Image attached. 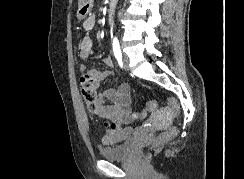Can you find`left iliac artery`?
I'll use <instances>...</instances> for the list:
<instances>
[{
	"label": "left iliac artery",
	"mask_w": 244,
	"mask_h": 179,
	"mask_svg": "<svg viewBox=\"0 0 244 179\" xmlns=\"http://www.w3.org/2000/svg\"><path fill=\"white\" fill-rule=\"evenodd\" d=\"M113 52H114V56L115 58L121 62L122 60V53H121V49H120V45H119V41L117 39V37L113 38Z\"/></svg>",
	"instance_id": "1"
}]
</instances>
